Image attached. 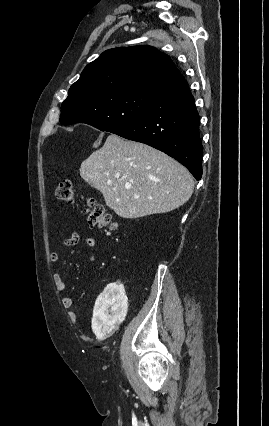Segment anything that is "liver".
Wrapping results in <instances>:
<instances>
[{"label": "liver", "instance_id": "6515ba94", "mask_svg": "<svg viewBox=\"0 0 269 426\" xmlns=\"http://www.w3.org/2000/svg\"><path fill=\"white\" fill-rule=\"evenodd\" d=\"M80 175L123 218L175 210L190 199L194 189L190 172L179 162L116 134H110L103 147L81 163Z\"/></svg>", "mask_w": 269, "mask_h": 426}]
</instances>
